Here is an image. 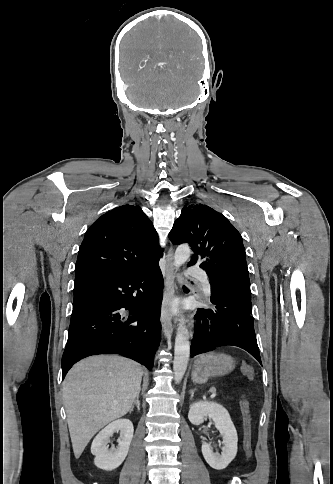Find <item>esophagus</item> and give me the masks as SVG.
<instances>
[{
  "label": "esophagus",
  "mask_w": 333,
  "mask_h": 484,
  "mask_svg": "<svg viewBox=\"0 0 333 484\" xmlns=\"http://www.w3.org/2000/svg\"><path fill=\"white\" fill-rule=\"evenodd\" d=\"M165 291L161 304V323L164 335L169 338L173 333L171 321V305L175 298V277L176 273L173 264V247H170L167 255Z\"/></svg>",
  "instance_id": "esophagus-1"
}]
</instances>
